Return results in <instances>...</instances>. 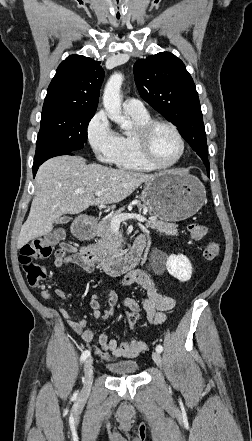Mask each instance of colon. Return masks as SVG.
Instances as JSON below:
<instances>
[{
    "mask_svg": "<svg viewBox=\"0 0 252 441\" xmlns=\"http://www.w3.org/2000/svg\"><path fill=\"white\" fill-rule=\"evenodd\" d=\"M189 234L193 240H203L209 233V228L206 225L199 223H191L189 225ZM63 232L55 230L52 233L41 238L35 239L25 244L20 249L19 262L26 275V279L30 286L36 287L40 285L47 277L46 269L38 264V259L48 258L56 246H64L62 243ZM220 254V245L217 242H208L203 250V256L206 260L211 261L216 259ZM141 311L136 307L117 305L107 306L101 312L100 318L103 320H110L114 317H121L125 319L128 325L132 328L138 325ZM98 355L104 359H113L114 357L105 351H98Z\"/></svg>",
    "mask_w": 252,
    "mask_h": 441,
    "instance_id": "colon-1",
    "label": "colon"
}]
</instances>
